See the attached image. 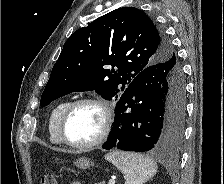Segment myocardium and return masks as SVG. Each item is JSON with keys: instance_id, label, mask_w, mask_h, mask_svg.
<instances>
[{"instance_id": "1", "label": "myocardium", "mask_w": 224, "mask_h": 184, "mask_svg": "<svg viewBox=\"0 0 224 184\" xmlns=\"http://www.w3.org/2000/svg\"><path fill=\"white\" fill-rule=\"evenodd\" d=\"M82 104H91V105L97 106L102 112L103 120H102V124L100 128V132L94 140L87 143L78 144V143L72 142L67 137L66 124H67L68 118L70 117L74 109ZM112 124H113V109L111 108L109 103L102 98H98L94 96H85V97L77 98L71 101L67 105V107L65 108L60 118L58 130H59L61 141L64 144L74 149L87 150V149H91L100 145L107 139V137L109 136L111 132Z\"/></svg>"}]
</instances>
